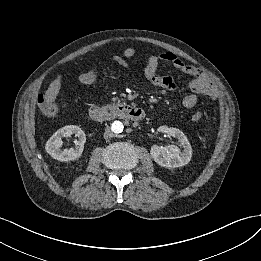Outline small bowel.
Wrapping results in <instances>:
<instances>
[{
  "label": "small bowel",
  "instance_id": "c3829d8e",
  "mask_svg": "<svg viewBox=\"0 0 261 261\" xmlns=\"http://www.w3.org/2000/svg\"><path fill=\"white\" fill-rule=\"evenodd\" d=\"M135 55L136 50L133 47H127L124 50L123 55L114 56L113 61L119 65L127 66V60L133 58ZM160 61L170 62L174 66L181 68L185 73L193 77L195 76V72L199 69L193 65H184L180 58L170 52H166L160 55H150L147 59V64L144 69L145 77L153 86L165 90H176L178 88V83L173 77L161 76L158 74ZM97 76L98 70H91L80 76V82L83 84H91L96 80ZM203 93H206L209 96H213L215 94L213 89H208ZM198 94L199 93L191 92L190 94L186 95L182 101L183 106L188 109L195 107L198 103Z\"/></svg>",
  "mask_w": 261,
  "mask_h": 261
}]
</instances>
